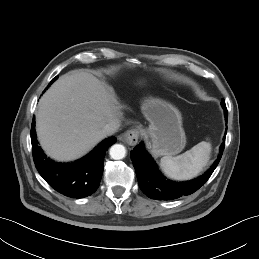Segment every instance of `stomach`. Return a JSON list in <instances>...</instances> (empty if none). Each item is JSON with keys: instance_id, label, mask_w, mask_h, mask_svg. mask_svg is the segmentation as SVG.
<instances>
[{"instance_id": "1", "label": "stomach", "mask_w": 259, "mask_h": 259, "mask_svg": "<svg viewBox=\"0 0 259 259\" xmlns=\"http://www.w3.org/2000/svg\"><path fill=\"white\" fill-rule=\"evenodd\" d=\"M145 118L150 122L148 134L155 155H175L186 144L182 117L177 108L160 99H148L142 105Z\"/></svg>"}]
</instances>
